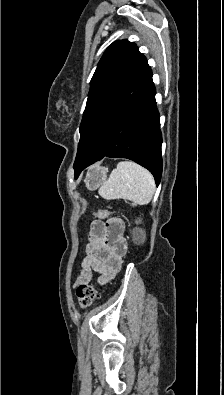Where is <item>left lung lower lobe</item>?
<instances>
[{"mask_svg":"<svg viewBox=\"0 0 224 395\" xmlns=\"http://www.w3.org/2000/svg\"><path fill=\"white\" fill-rule=\"evenodd\" d=\"M149 65L99 113L81 159L74 164L75 178L103 157L128 158L147 168L158 185L162 175L159 113Z\"/></svg>","mask_w":224,"mask_h":395,"instance_id":"1","label":"left lung lower lobe"}]
</instances>
